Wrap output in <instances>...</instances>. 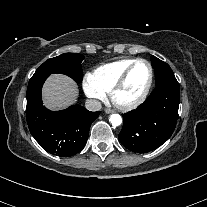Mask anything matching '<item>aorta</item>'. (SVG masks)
<instances>
[{"mask_svg":"<svg viewBox=\"0 0 207 207\" xmlns=\"http://www.w3.org/2000/svg\"><path fill=\"white\" fill-rule=\"evenodd\" d=\"M109 122L111 123L112 126L117 127V126L121 125L122 118L119 114H112L110 116Z\"/></svg>","mask_w":207,"mask_h":207,"instance_id":"1","label":"aorta"}]
</instances>
